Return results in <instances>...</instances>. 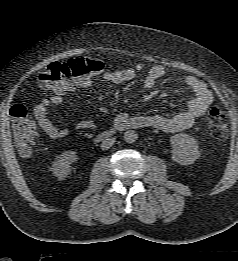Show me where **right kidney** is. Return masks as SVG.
Instances as JSON below:
<instances>
[{"label":"right kidney","instance_id":"1","mask_svg":"<svg viewBox=\"0 0 238 261\" xmlns=\"http://www.w3.org/2000/svg\"><path fill=\"white\" fill-rule=\"evenodd\" d=\"M78 159L75 151L63 152L59 159L53 163L52 171L59 180H64L71 173V164Z\"/></svg>","mask_w":238,"mask_h":261}]
</instances>
